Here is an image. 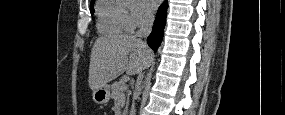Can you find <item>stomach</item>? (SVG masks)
Returning <instances> with one entry per match:
<instances>
[{"instance_id": "0dacf381", "label": "stomach", "mask_w": 285, "mask_h": 115, "mask_svg": "<svg viewBox=\"0 0 285 115\" xmlns=\"http://www.w3.org/2000/svg\"><path fill=\"white\" fill-rule=\"evenodd\" d=\"M110 89L111 87L107 84L95 89L93 91V100L95 103L100 105L107 104L111 97Z\"/></svg>"}]
</instances>
